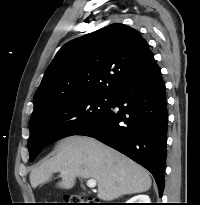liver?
Listing matches in <instances>:
<instances>
[{
  "label": "liver",
  "mask_w": 200,
  "mask_h": 205,
  "mask_svg": "<svg viewBox=\"0 0 200 205\" xmlns=\"http://www.w3.org/2000/svg\"><path fill=\"white\" fill-rule=\"evenodd\" d=\"M55 149L52 158L30 172L33 188L48 182L55 172H60L62 180L58 186L63 189H71L77 177L95 179L97 197L103 201L146 192L151 187L152 180L146 169L94 138L66 137Z\"/></svg>",
  "instance_id": "liver-1"
}]
</instances>
